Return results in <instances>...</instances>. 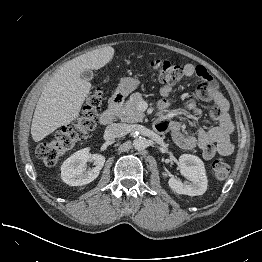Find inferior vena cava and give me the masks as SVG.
<instances>
[{"mask_svg": "<svg viewBox=\"0 0 262 262\" xmlns=\"http://www.w3.org/2000/svg\"><path fill=\"white\" fill-rule=\"evenodd\" d=\"M105 134L111 138H120L127 134V127L124 124L114 123L106 127Z\"/></svg>", "mask_w": 262, "mask_h": 262, "instance_id": "obj_1", "label": "inferior vena cava"}]
</instances>
